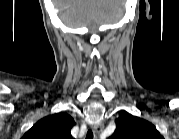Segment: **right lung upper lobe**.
I'll return each mask as SVG.
<instances>
[{
  "label": "right lung upper lobe",
  "mask_w": 179,
  "mask_h": 139,
  "mask_svg": "<svg viewBox=\"0 0 179 139\" xmlns=\"http://www.w3.org/2000/svg\"><path fill=\"white\" fill-rule=\"evenodd\" d=\"M73 118L66 113L49 115L39 120L23 136L24 139H71Z\"/></svg>",
  "instance_id": "1"
}]
</instances>
